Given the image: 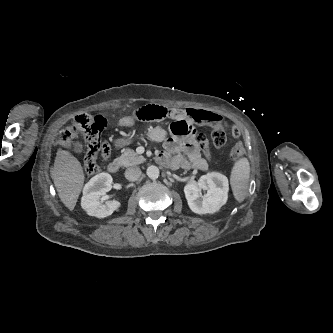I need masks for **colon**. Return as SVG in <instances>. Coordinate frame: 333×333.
I'll return each instance as SVG.
<instances>
[{
  "label": "colon",
  "instance_id": "obj_1",
  "mask_svg": "<svg viewBox=\"0 0 333 333\" xmlns=\"http://www.w3.org/2000/svg\"><path fill=\"white\" fill-rule=\"evenodd\" d=\"M187 114L199 116L200 114L189 111ZM175 118L178 121L172 127V132L179 136H192L195 134V128L192 124L183 119L182 111L167 109L159 105H142L135 109H130L126 113V118L130 122H138L146 124L150 121L163 120L166 118ZM107 122L103 117H92L88 114H81L74 118L71 127L59 132L57 142L64 148L73 147L76 138L81 135L87 141V150L84 156V168L89 175H94L100 171L97 164V155L106 159L110 155V145L106 141H101V133L106 128ZM233 135L237 134L236 128H231ZM227 135L225 128L221 124H215L211 132V143L214 147H221L225 144ZM196 142L202 149L206 158H209V148L207 139L203 134L196 135ZM242 147L239 144L234 145L230 150V159L237 161L242 155Z\"/></svg>",
  "mask_w": 333,
  "mask_h": 333
}]
</instances>
